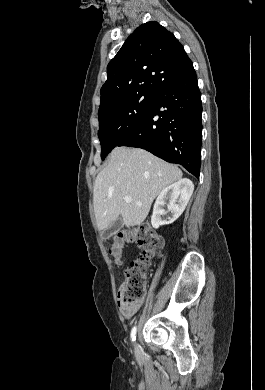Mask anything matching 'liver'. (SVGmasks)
I'll list each match as a JSON object with an SVG mask.
<instances>
[{"mask_svg": "<svg viewBox=\"0 0 265 390\" xmlns=\"http://www.w3.org/2000/svg\"><path fill=\"white\" fill-rule=\"evenodd\" d=\"M182 171L140 148L116 147L94 184V213L99 230L119 216L127 227L140 225L154 199L170 184L181 180ZM132 198L126 203L124 197ZM141 202L142 205H136Z\"/></svg>", "mask_w": 265, "mask_h": 390, "instance_id": "6515ba94", "label": "liver"}]
</instances>
